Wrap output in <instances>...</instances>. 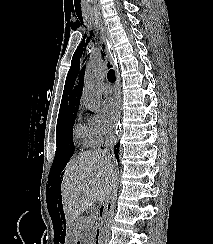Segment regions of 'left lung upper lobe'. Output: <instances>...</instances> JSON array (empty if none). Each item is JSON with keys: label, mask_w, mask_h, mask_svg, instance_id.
Listing matches in <instances>:
<instances>
[{"label": "left lung upper lobe", "mask_w": 213, "mask_h": 244, "mask_svg": "<svg viewBox=\"0 0 213 244\" xmlns=\"http://www.w3.org/2000/svg\"><path fill=\"white\" fill-rule=\"evenodd\" d=\"M78 60H79V58H76V60L73 59V61H72L71 68L68 72L66 83H65L66 93H68L69 88L74 85V81L76 79L78 72H80L79 73L80 79H81V77H83L84 68L80 71V69H79L80 68V65H79L80 61H78Z\"/></svg>", "instance_id": "5c2ea615"}]
</instances>
